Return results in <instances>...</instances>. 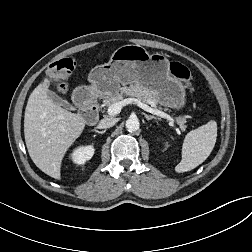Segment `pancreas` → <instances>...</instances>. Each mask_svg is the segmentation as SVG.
Wrapping results in <instances>:
<instances>
[{
    "mask_svg": "<svg viewBox=\"0 0 252 252\" xmlns=\"http://www.w3.org/2000/svg\"><path fill=\"white\" fill-rule=\"evenodd\" d=\"M125 96L136 97L138 100L144 103H149L152 106H156L159 103L154 91L136 85L131 87H123L121 88L120 93L105 98L102 107H110L112 104L122 101ZM184 122V120L178 119V124L181 126H183Z\"/></svg>",
    "mask_w": 252,
    "mask_h": 252,
    "instance_id": "obj_1",
    "label": "pancreas"
}]
</instances>
